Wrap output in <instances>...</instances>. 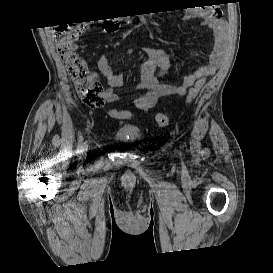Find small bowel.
<instances>
[{
  "label": "small bowel",
  "mask_w": 273,
  "mask_h": 273,
  "mask_svg": "<svg viewBox=\"0 0 273 273\" xmlns=\"http://www.w3.org/2000/svg\"><path fill=\"white\" fill-rule=\"evenodd\" d=\"M184 18L202 19L204 24L211 29L213 49L208 56V63L194 73L184 76L179 85H172L161 81L164 78L171 77L173 72L167 50L149 46L143 47L142 50L146 55V59L141 64L140 82L136 87L137 91L143 93L133 100L136 108L151 110L162 97L184 95L197 80L213 75L223 64L227 52L228 27L225 20L221 18L220 9L217 7L193 8L186 11ZM98 68L109 85L104 92V99L109 103H119L121 98L115 89L123 85V75L113 70L104 54H101L98 58ZM120 111H123V117L118 119L131 118L132 114L129 111Z\"/></svg>",
  "instance_id": "c3829d8e"
}]
</instances>
